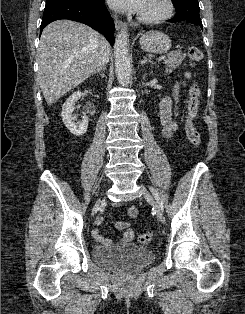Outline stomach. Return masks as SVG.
<instances>
[{
    "label": "stomach",
    "instance_id": "obj_1",
    "mask_svg": "<svg viewBox=\"0 0 245 314\" xmlns=\"http://www.w3.org/2000/svg\"><path fill=\"white\" fill-rule=\"evenodd\" d=\"M139 44L144 51L162 54L170 50L171 39L162 32L152 30L140 37Z\"/></svg>",
    "mask_w": 245,
    "mask_h": 314
}]
</instances>
